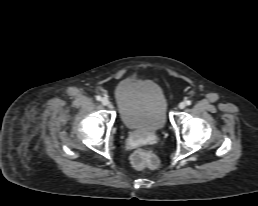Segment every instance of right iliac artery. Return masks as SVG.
I'll return each instance as SVG.
<instances>
[{
  "mask_svg": "<svg viewBox=\"0 0 258 206\" xmlns=\"http://www.w3.org/2000/svg\"><path fill=\"white\" fill-rule=\"evenodd\" d=\"M96 100L100 101L101 100V96H96Z\"/></svg>",
  "mask_w": 258,
  "mask_h": 206,
  "instance_id": "obj_1",
  "label": "right iliac artery"
}]
</instances>
